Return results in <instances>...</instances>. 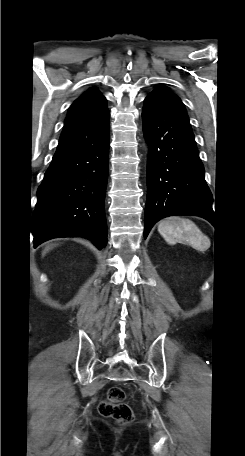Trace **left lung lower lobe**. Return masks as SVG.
<instances>
[{
  "label": "left lung lower lobe",
  "mask_w": 245,
  "mask_h": 456,
  "mask_svg": "<svg viewBox=\"0 0 245 456\" xmlns=\"http://www.w3.org/2000/svg\"><path fill=\"white\" fill-rule=\"evenodd\" d=\"M142 121L150 149L144 238L168 216L195 215L210 221L212 194L186 111L146 97Z\"/></svg>",
  "instance_id": "1"
}]
</instances>
